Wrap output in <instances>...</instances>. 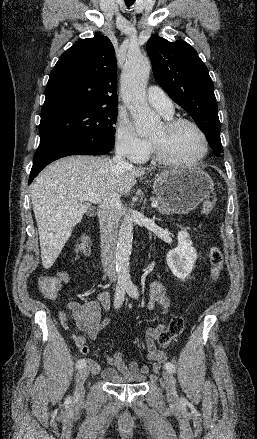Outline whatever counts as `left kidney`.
<instances>
[{
  "label": "left kidney",
  "instance_id": "5707ae66",
  "mask_svg": "<svg viewBox=\"0 0 257 439\" xmlns=\"http://www.w3.org/2000/svg\"><path fill=\"white\" fill-rule=\"evenodd\" d=\"M178 246L169 251L166 256L167 264L178 279L187 278L193 270L197 252L192 246L190 236L186 231L178 232Z\"/></svg>",
  "mask_w": 257,
  "mask_h": 439
}]
</instances>
